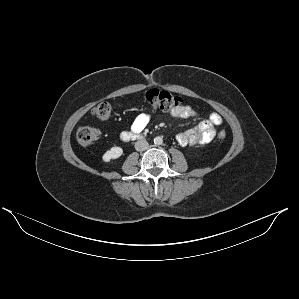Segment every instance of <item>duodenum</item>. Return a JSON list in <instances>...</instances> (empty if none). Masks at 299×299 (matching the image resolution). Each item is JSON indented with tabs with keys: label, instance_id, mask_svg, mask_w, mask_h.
Here are the masks:
<instances>
[{
	"label": "duodenum",
	"instance_id": "obj_1",
	"mask_svg": "<svg viewBox=\"0 0 299 299\" xmlns=\"http://www.w3.org/2000/svg\"><path fill=\"white\" fill-rule=\"evenodd\" d=\"M121 138L122 140H134V139H138L140 138V136L138 134H134V133H131V132H124L122 135H121Z\"/></svg>",
	"mask_w": 299,
	"mask_h": 299
}]
</instances>
